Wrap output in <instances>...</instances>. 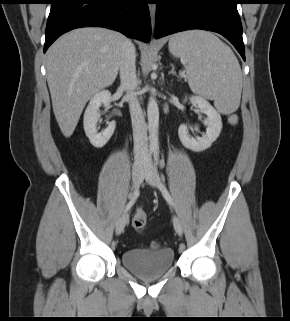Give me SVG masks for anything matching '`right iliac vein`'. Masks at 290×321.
Returning <instances> with one entry per match:
<instances>
[{"label":"right iliac vein","mask_w":290,"mask_h":321,"mask_svg":"<svg viewBox=\"0 0 290 321\" xmlns=\"http://www.w3.org/2000/svg\"><path fill=\"white\" fill-rule=\"evenodd\" d=\"M144 168L141 161H135L132 170V179H133V190L137 189L141 183V177L143 174ZM130 197H133V193L130 194ZM128 221V213L124 212L116 223L115 232L117 235H120Z\"/></svg>","instance_id":"63e3f726"}]
</instances>
